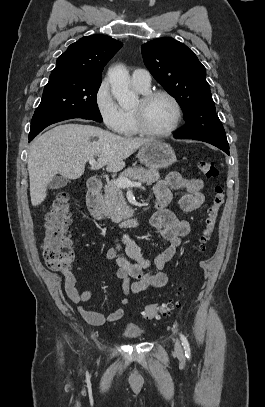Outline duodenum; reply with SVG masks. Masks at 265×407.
Wrapping results in <instances>:
<instances>
[{
  "instance_id": "1",
  "label": "duodenum",
  "mask_w": 265,
  "mask_h": 407,
  "mask_svg": "<svg viewBox=\"0 0 265 407\" xmlns=\"http://www.w3.org/2000/svg\"><path fill=\"white\" fill-rule=\"evenodd\" d=\"M88 191L86 195V203L89 213L96 219L103 217L100 205V192L102 183L96 178H90L87 183ZM140 215L138 213L130 214L123 222L126 226L135 227L139 224Z\"/></svg>"
}]
</instances>
